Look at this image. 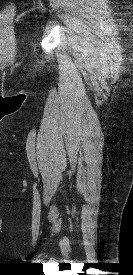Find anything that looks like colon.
<instances>
[{"mask_svg": "<svg viewBox=\"0 0 133 275\" xmlns=\"http://www.w3.org/2000/svg\"><path fill=\"white\" fill-rule=\"evenodd\" d=\"M13 13L14 12H13L12 7H8L2 12V15H4L5 17H11L13 15Z\"/></svg>", "mask_w": 133, "mask_h": 275, "instance_id": "1", "label": "colon"}]
</instances>
